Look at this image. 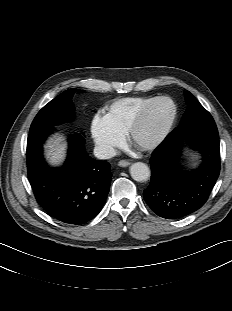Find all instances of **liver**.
<instances>
[{
  "label": "liver",
  "mask_w": 232,
  "mask_h": 311,
  "mask_svg": "<svg viewBox=\"0 0 232 311\" xmlns=\"http://www.w3.org/2000/svg\"><path fill=\"white\" fill-rule=\"evenodd\" d=\"M47 156L51 163L59 164L65 156V144L60 139H51L47 144Z\"/></svg>",
  "instance_id": "obj_1"
}]
</instances>
